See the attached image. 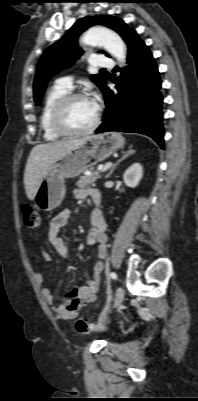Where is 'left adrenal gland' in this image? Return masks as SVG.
<instances>
[{
  "label": "left adrenal gland",
  "instance_id": "left-adrenal-gland-1",
  "mask_svg": "<svg viewBox=\"0 0 198 401\" xmlns=\"http://www.w3.org/2000/svg\"><path fill=\"white\" fill-rule=\"evenodd\" d=\"M135 153V150L129 149L128 151L123 153V156L113 165L112 169L110 170V172L106 175V179L109 178L111 176V174L114 172V170L116 169V167L119 165V163H121L124 159H126L127 157L133 155Z\"/></svg>",
  "mask_w": 198,
  "mask_h": 401
}]
</instances>
